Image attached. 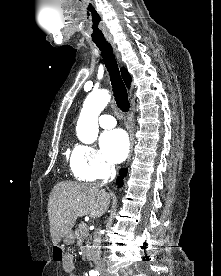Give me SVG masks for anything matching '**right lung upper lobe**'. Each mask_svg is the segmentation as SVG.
Here are the masks:
<instances>
[{"mask_svg":"<svg viewBox=\"0 0 221 276\" xmlns=\"http://www.w3.org/2000/svg\"><path fill=\"white\" fill-rule=\"evenodd\" d=\"M121 75L124 79V82L126 84V86L128 88H130V84H131V77H130V74L128 73V71L124 68H121Z\"/></svg>","mask_w":221,"mask_h":276,"instance_id":"right-lung-upper-lobe-1","label":"right lung upper lobe"}]
</instances>
